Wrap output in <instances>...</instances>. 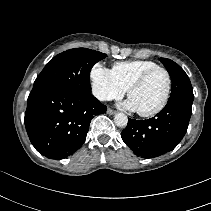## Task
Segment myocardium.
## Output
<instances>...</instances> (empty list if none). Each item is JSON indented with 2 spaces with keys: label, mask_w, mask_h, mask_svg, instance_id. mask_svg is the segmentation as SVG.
<instances>
[{
  "label": "myocardium",
  "mask_w": 211,
  "mask_h": 211,
  "mask_svg": "<svg viewBox=\"0 0 211 211\" xmlns=\"http://www.w3.org/2000/svg\"><path fill=\"white\" fill-rule=\"evenodd\" d=\"M157 71H162L165 73L166 77H167V88H166V92H165V96L162 100V102L154 109L150 110V111H146V112H142V111H137V113L141 116V117H153L155 115H157L158 113H160L165 106L167 105L169 98H170V94H171V89H172V77L170 72L163 67H156V68H152L146 72H144L140 77H138L127 89V96L130 99L131 94L138 88H140L145 82L146 80L155 72Z\"/></svg>",
  "instance_id": "f54148a6"
}]
</instances>
